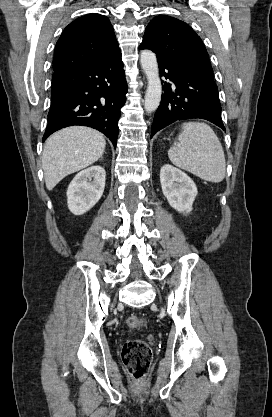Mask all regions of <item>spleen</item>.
<instances>
[{
    "label": "spleen",
    "instance_id": "1",
    "mask_svg": "<svg viewBox=\"0 0 272 417\" xmlns=\"http://www.w3.org/2000/svg\"><path fill=\"white\" fill-rule=\"evenodd\" d=\"M177 140L168 151V157L175 166L212 183H219L225 178L224 150L209 125L185 122Z\"/></svg>",
    "mask_w": 272,
    "mask_h": 417
}]
</instances>
